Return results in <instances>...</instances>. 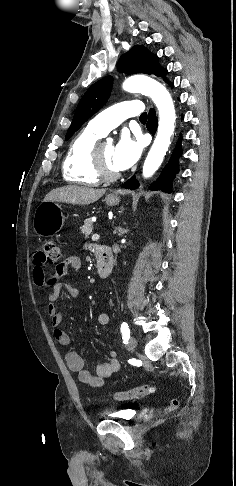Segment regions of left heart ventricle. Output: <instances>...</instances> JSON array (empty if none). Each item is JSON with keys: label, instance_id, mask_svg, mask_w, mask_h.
Masks as SVG:
<instances>
[{"label": "left heart ventricle", "instance_id": "b2bd125f", "mask_svg": "<svg viewBox=\"0 0 236 486\" xmlns=\"http://www.w3.org/2000/svg\"><path fill=\"white\" fill-rule=\"evenodd\" d=\"M113 151H114V147L109 144H103L100 149L101 156L106 168L110 172H118V169L115 167L113 161Z\"/></svg>", "mask_w": 236, "mask_h": 486}]
</instances>
